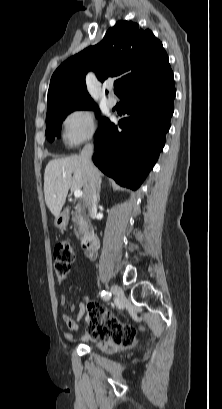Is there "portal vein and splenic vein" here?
Returning <instances> with one entry per match:
<instances>
[{"label": "portal vein and splenic vein", "instance_id": "1", "mask_svg": "<svg viewBox=\"0 0 222 409\" xmlns=\"http://www.w3.org/2000/svg\"><path fill=\"white\" fill-rule=\"evenodd\" d=\"M82 195H83V192L81 190H75L74 191L75 198H81Z\"/></svg>", "mask_w": 222, "mask_h": 409}]
</instances>
